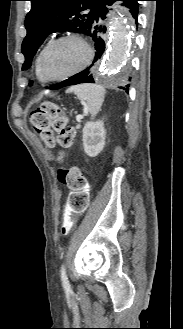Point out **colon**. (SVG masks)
Instances as JSON below:
<instances>
[{"label":"colon","mask_w":183,"mask_h":329,"mask_svg":"<svg viewBox=\"0 0 183 329\" xmlns=\"http://www.w3.org/2000/svg\"><path fill=\"white\" fill-rule=\"evenodd\" d=\"M30 124L48 147L56 142L63 149H70L75 139V131L68 126V118L62 109L53 103H43L30 114ZM65 153H61L64 157ZM59 182L69 189L67 206L63 207L61 219L65 221L61 227V234L67 236L72 227L73 219L82 217L89 203V189L85 177L77 167L60 169Z\"/></svg>","instance_id":"obj_1"}]
</instances>
